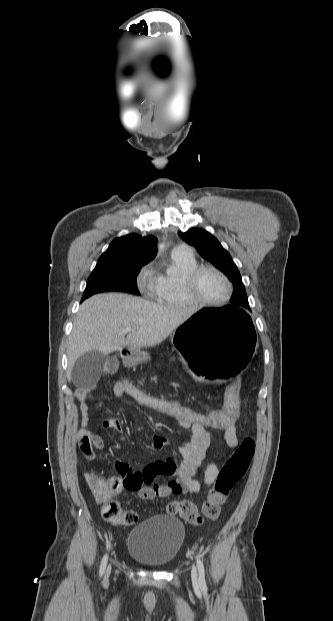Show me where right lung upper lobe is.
Instances as JSON below:
<instances>
[{"mask_svg":"<svg viewBox=\"0 0 333 621\" xmlns=\"http://www.w3.org/2000/svg\"><path fill=\"white\" fill-rule=\"evenodd\" d=\"M156 242L157 238L151 235L141 237L136 234H128L116 238L101 255L97 263L139 262L147 264L156 256Z\"/></svg>","mask_w":333,"mask_h":621,"instance_id":"cb5924a9","label":"right lung upper lobe"}]
</instances>
